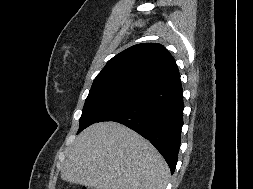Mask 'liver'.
<instances>
[{"mask_svg":"<svg viewBox=\"0 0 253 189\" xmlns=\"http://www.w3.org/2000/svg\"><path fill=\"white\" fill-rule=\"evenodd\" d=\"M170 170L158 150L116 122L95 123L69 148L61 178L96 189H165Z\"/></svg>","mask_w":253,"mask_h":189,"instance_id":"obj_1","label":"liver"}]
</instances>
